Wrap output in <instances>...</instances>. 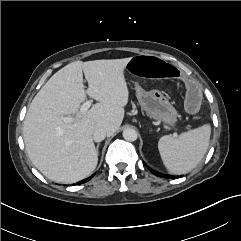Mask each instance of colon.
Wrapping results in <instances>:
<instances>
[{
	"label": "colon",
	"mask_w": 241,
	"mask_h": 241,
	"mask_svg": "<svg viewBox=\"0 0 241 241\" xmlns=\"http://www.w3.org/2000/svg\"><path fill=\"white\" fill-rule=\"evenodd\" d=\"M128 69L137 75L147 78L157 77L160 79L175 80L177 78L185 82L187 90L191 91L186 100L189 112L195 113L200 108V92L198 84L181 73L180 67L175 63L164 62L161 58L151 55L133 56L127 62Z\"/></svg>",
	"instance_id": "1"
}]
</instances>
